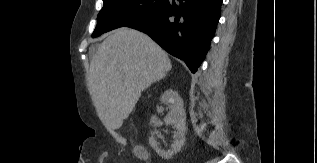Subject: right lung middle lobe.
Here are the masks:
<instances>
[{
  "label": "right lung middle lobe",
  "instance_id": "1",
  "mask_svg": "<svg viewBox=\"0 0 317 163\" xmlns=\"http://www.w3.org/2000/svg\"><path fill=\"white\" fill-rule=\"evenodd\" d=\"M167 0H103L97 16L98 24L92 36L126 26L161 7Z\"/></svg>",
  "mask_w": 317,
  "mask_h": 163
}]
</instances>
